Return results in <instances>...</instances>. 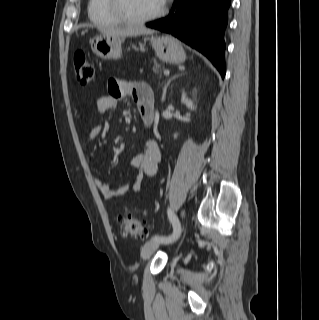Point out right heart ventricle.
Masks as SVG:
<instances>
[{
	"label": "right heart ventricle",
	"mask_w": 319,
	"mask_h": 320,
	"mask_svg": "<svg viewBox=\"0 0 319 320\" xmlns=\"http://www.w3.org/2000/svg\"><path fill=\"white\" fill-rule=\"evenodd\" d=\"M88 16L93 23L99 26H114L122 23L110 13L107 0H89Z\"/></svg>",
	"instance_id": "obj_1"
}]
</instances>
